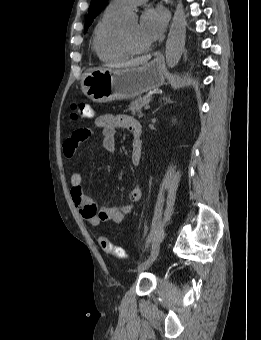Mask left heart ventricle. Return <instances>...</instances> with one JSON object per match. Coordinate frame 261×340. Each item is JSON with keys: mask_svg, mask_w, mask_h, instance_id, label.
<instances>
[{"mask_svg": "<svg viewBox=\"0 0 261 340\" xmlns=\"http://www.w3.org/2000/svg\"><path fill=\"white\" fill-rule=\"evenodd\" d=\"M124 29L135 47L145 48L148 46V43L145 41V39L141 36L139 32V26L137 22L126 25Z\"/></svg>", "mask_w": 261, "mask_h": 340, "instance_id": "obj_1", "label": "left heart ventricle"}]
</instances>
